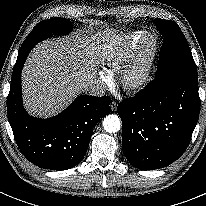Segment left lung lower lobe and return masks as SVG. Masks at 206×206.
I'll use <instances>...</instances> for the list:
<instances>
[{
    "mask_svg": "<svg viewBox=\"0 0 206 206\" xmlns=\"http://www.w3.org/2000/svg\"><path fill=\"white\" fill-rule=\"evenodd\" d=\"M122 120V150L141 170L163 168L188 147L200 112L198 77L156 78L117 108Z\"/></svg>",
    "mask_w": 206,
    "mask_h": 206,
    "instance_id": "left-lung-lower-lobe-1",
    "label": "left lung lower lobe"
}]
</instances>
